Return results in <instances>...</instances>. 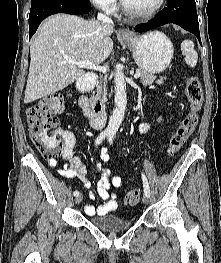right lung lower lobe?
Instances as JSON below:
<instances>
[{
    "instance_id": "right-lung-lower-lobe-1",
    "label": "right lung lower lobe",
    "mask_w": 221,
    "mask_h": 263,
    "mask_svg": "<svg viewBox=\"0 0 221 263\" xmlns=\"http://www.w3.org/2000/svg\"><path fill=\"white\" fill-rule=\"evenodd\" d=\"M91 10L89 0H42L31 5L29 15V37L36 32L39 24L55 13L86 14Z\"/></svg>"
}]
</instances>
